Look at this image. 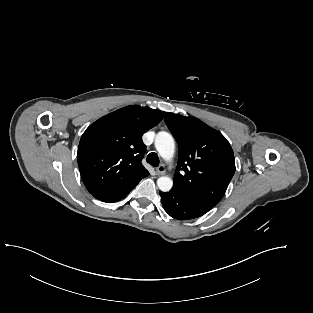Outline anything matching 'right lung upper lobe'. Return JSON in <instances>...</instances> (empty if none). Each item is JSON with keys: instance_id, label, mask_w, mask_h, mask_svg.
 Returning <instances> with one entry per match:
<instances>
[{"instance_id": "obj_1", "label": "right lung upper lobe", "mask_w": 313, "mask_h": 313, "mask_svg": "<svg viewBox=\"0 0 313 313\" xmlns=\"http://www.w3.org/2000/svg\"><path fill=\"white\" fill-rule=\"evenodd\" d=\"M163 112L137 105L107 114L83 133L77 153L82 180L90 193L148 176L141 164L142 135L163 119Z\"/></svg>"}]
</instances>
